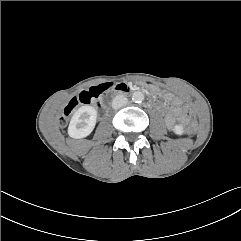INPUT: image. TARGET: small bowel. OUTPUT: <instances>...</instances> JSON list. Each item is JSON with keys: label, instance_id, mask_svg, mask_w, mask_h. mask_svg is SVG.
I'll return each mask as SVG.
<instances>
[{"label": "small bowel", "instance_id": "small-bowel-1", "mask_svg": "<svg viewBox=\"0 0 241 241\" xmlns=\"http://www.w3.org/2000/svg\"><path fill=\"white\" fill-rule=\"evenodd\" d=\"M166 99L169 100L172 106L167 111L166 122L171 126L176 118H181L180 105L181 101L170 94L165 95Z\"/></svg>", "mask_w": 241, "mask_h": 241}]
</instances>
